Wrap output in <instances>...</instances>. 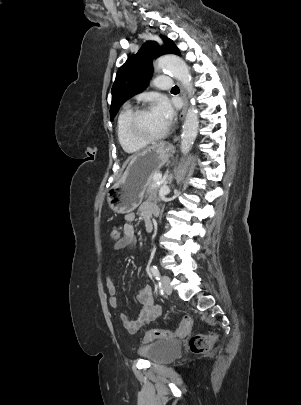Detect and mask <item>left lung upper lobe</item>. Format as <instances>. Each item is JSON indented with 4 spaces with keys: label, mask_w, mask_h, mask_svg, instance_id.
Returning <instances> with one entry per match:
<instances>
[{
    "label": "left lung upper lobe",
    "mask_w": 301,
    "mask_h": 405,
    "mask_svg": "<svg viewBox=\"0 0 301 405\" xmlns=\"http://www.w3.org/2000/svg\"><path fill=\"white\" fill-rule=\"evenodd\" d=\"M164 45L161 47L155 41L144 43L142 48L131 56L118 70L112 86V103L110 118L114 119L121 105L130 97L142 92L149 83L152 75V60L164 54L181 55L174 42L161 36Z\"/></svg>",
    "instance_id": "1"
}]
</instances>
